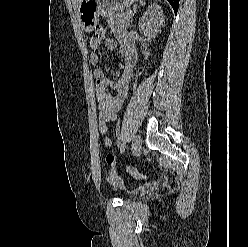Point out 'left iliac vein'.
I'll return each instance as SVG.
<instances>
[{
  "mask_svg": "<svg viewBox=\"0 0 248 247\" xmlns=\"http://www.w3.org/2000/svg\"><path fill=\"white\" fill-rule=\"evenodd\" d=\"M142 139L139 134L135 135L132 140L131 150L133 153H137L141 149Z\"/></svg>",
  "mask_w": 248,
  "mask_h": 247,
  "instance_id": "4c4485c4",
  "label": "left iliac vein"
}]
</instances>
